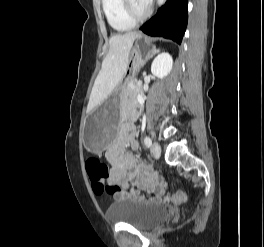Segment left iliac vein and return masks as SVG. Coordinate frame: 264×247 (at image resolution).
I'll use <instances>...</instances> for the list:
<instances>
[{
	"mask_svg": "<svg viewBox=\"0 0 264 247\" xmlns=\"http://www.w3.org/2000/svg\"><path fill=\"white\" fill-rule=\"evenodd\" d=\"M151 154L155 157V158H159L161 155V147L157 142H154L152 147H151Z\"/></svg>",
	"mask_w": 264,
	"mask_h": 247,
	"instance_id": "left-iliac-vein-1",
	"label": "left iliac vein"
}]
</instances>
